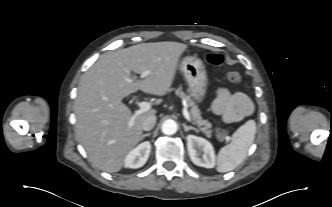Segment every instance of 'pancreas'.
I'll list each match as a JSON object with an SVG mask.
<instances>
[{"instance_id":"1","label":"pancreas","mask_w":332,"mask_h":207,"mask_svg":"<svg viewBox=\"0 0 332 207\" xmlns=\"http://www.w3.org/2000/svg\"><path fill=\"white\" fill-rule=\"evenodd\" d=\"M184 95V93H181ZM186 101L188 102V105L191 107V116L194 123L200 128L202 132L205 133L206 137L210 138L212 136V129H211V123L207 120H203L201 117L200 110L198 107L194 104V102L190 99L189 96H185ZM226 132H217V138L219 140H222L224 136H226Z\"/></svg>"}]
</instances>
